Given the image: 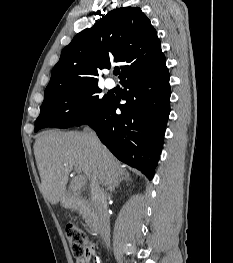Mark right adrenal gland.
<instances>
[{
    "label": "right adrenal gland",
    "mask_w": 233,
    "mask_h": 263,
    "mask_svg": "<svg viewBox=\"0 0 233 263\" xmlns=\"http://www.w3.org/2000/svg\"><path fill=\"white\" fill-rule=\"evenodd\" d=\"M121 181H125V182H129L131 181L130 175L126 174L122 177ZM119 187V183L113 184L112 186L109 187V190L111 193H113L115 191L116 188Z\"/></svg>",
    "instance_id": "obj_1"
}]
</instances>
